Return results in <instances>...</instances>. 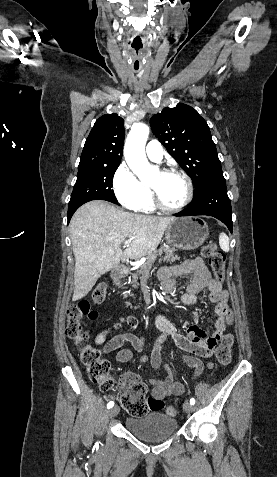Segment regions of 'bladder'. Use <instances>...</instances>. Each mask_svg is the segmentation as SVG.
<instances>
[{
	"label": "bladder",
	"mask_w": 277,
	"mask_h": 477,
	"mask_svg": "<svg viewBox=\"0 0 277 477\" xmlns=\"http://www.w3.org/2000/svg\"><path fill=\"white\" fill-rule=\"evenodd\" d=\"M126 428L140 439L158 441L173 435L178 428L177 420L167 414L152 411L139 417H128Z\"/></svg>",
	"instance_id": "obj_1"
}]
</instances>
